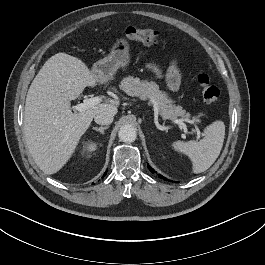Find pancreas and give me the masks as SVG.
Here are the masks:
<instances>
[{
  "label": "pancreas",
  "mask_w": 265,
  "mask_h": 265,
  "mask_svg": "<svg viewBox=\"0 0 265 265\" xmlns=\"http://www.w3.org/2000/svg\"><path fill=\"white\" fill-rule=\"evenodd\" d=\"M120 88L130 96H136L141 99L149 98L155 102L160 114L165 118L174 119L178 116H190L181 106L172 105V101L168 99L165 93L159 90L158 85L154 82L141 81L139 78L129 76L121 81ZM193 120L199 122V119L194 118Z\"/></svg>",
  "instance_id": "pancreas-1"
}]
</instances>
